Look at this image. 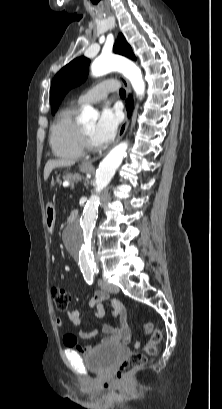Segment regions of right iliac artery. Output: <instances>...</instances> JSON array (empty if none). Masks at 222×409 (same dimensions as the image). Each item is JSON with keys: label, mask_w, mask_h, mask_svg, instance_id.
Wrapping results in <instances>:
<instances>
[{"label": "right iliac artery", "mask_w": 222, "mask_h": 409, "mask_svg": "<svg viewBox=\"0 0 222 409\" xmlns=\"http://www.w3.org/2000/svg\"><path fill=\"white\" fill-rule=\"evenodd\" d=\"M93 271H87L84 273V279L88 284H92L93 283Z\"/></svg>", "instance_id": "right-iliac-artery-1"}]
</instances>
